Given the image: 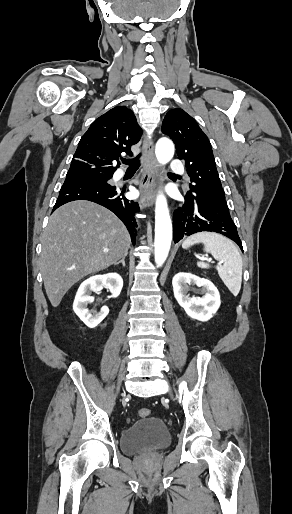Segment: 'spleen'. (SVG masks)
Instances as JSON below:
<instances>
[{"label": "spleen", "mask_w": 292, "mask_h": 514, "mask_svg": "<svg viewBox=\"0 0 292 514\" xmlns=\"http://www.w3.org/2000/svg\"><path fill=\"white\" fill-rule=\"evenodd\" d=\"M194 244H203L204 252L211 254L215 260L222 262L223 266H216V270L225 286L233 296H238L242 284V258L239 250L231 240L215 232H199L186 238L182 244L188 250ZM198 268H210L205 262H197Z\"/></svg>", "instance_id": "3e777b00"}]
</instances>
